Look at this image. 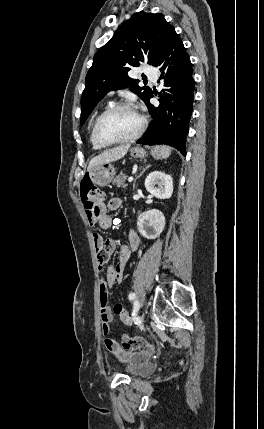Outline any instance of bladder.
Returning a JSON list of instances; mask_svg holds the SVG:
<instances>
[{"mask_svg": "<svg viewBox=\"0 0 264 429\" xmlns=\"http://www.w3.org/2000/svg\"><path fill=\"white\" fill-rule=\"evenodd\" d=\"M156 370V365L149 360H144L135 364L129 365L125 373L133 378H142L151 375Z\"/></svg>", "mask_w": 264, "mask_h": 429, "instance_id": "1", "label": "bladder"}]
</instances>
